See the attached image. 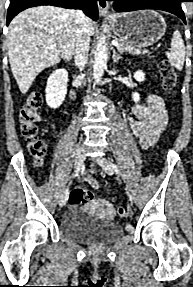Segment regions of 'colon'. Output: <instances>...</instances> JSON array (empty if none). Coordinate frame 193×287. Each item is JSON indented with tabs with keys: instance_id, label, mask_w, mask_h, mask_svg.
I'll use <instances>...</instances> for the list:
<instances>
[{
	"instance_id": "obj_1",
	"label": "colon",
	"mask_w": 193,
	"mask_h": 287,
	"mask_svg": "<svg viewBox=\"0 0 193 287\" xmlns=\"http://www.w3.org/2000/svg\"><path fill=\"white\" fill-rule=\"evenodd\" d=\"M159 73L161 79L162 88L165 91H172L177 82V75L174 67L167 60H162L159 64ZM43 106V97L40 92H34L30 95L27 103L22 107L20 111L21 133L23 137L28 141L30 150L34 156L36 162L41 163L45 155V145L39 139L41 132L40 110ZM93 199V194L90 191L74 188L70 192L69 201L72 205H79L87 203ZM116 215L120 218L126 216V210L122 206L116 208Z\"/></svg>"
}]
</instances>
